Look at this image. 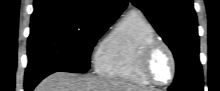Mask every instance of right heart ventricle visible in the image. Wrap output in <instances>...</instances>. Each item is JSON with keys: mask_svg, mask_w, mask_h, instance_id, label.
Segmentation results:
<instances>
[{"mask_svg": "<svg viewBox=\"0 0 220 91\" xmlns=\"http://www.w3.org/2000/svg\"><path fill=\"white\" fill-rule=\"evenodd\" d=\"M152 24L139 11L128 12L101 44L96 57V71L105 77L147 86L138 59L143 47L155 40Z\"/></svg>", "mask_w": 220, "mask_h": 91, "instance_id": "right-heart-ventricle-1", "label": "right heart ventricle"}]
</instances>
